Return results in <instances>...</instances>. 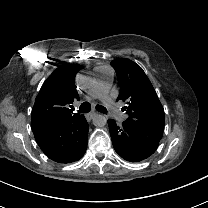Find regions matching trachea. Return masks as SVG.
<instances>
[{"label":"trachea","mask_w":208,"mask_h":208,"mask_svg":"<svg viewBox=\"0 0 208 208\" xmlns=\"http://www.w3.org/2000/svg\"><path fill=\"white\" fill-rule=\"evenodd\" d=\"M91 110V105L88 102H84L83 104L80 105L79 109L77 110L79 113H88ZM96 110L108 115V111L106 110L105 107L101 105L96 106Z\"/></svg>","instance_id":"trachea-1"}]
</instances>
